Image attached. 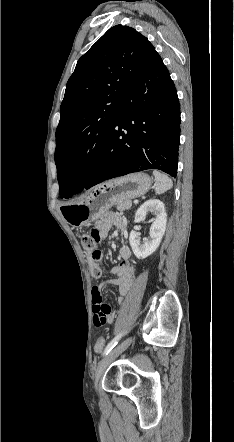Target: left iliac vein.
I'll return each instance as SVG.
<instances>
[{
    "label": "left iliac vein",
    "instance_id": "1",
    "mask_svg": "<svg viewBox=\"0 0 234 442\" xmlns=\"http://www.w3.org/2000/svg\"><path fill=\"white\" fill-rule=\"evenodd\" d=\"M133 338L128 337L123 342H121L119 345L114 347L98 364L96 371H95V386L97 387L98 382L100 378L102 377L103 373L105 372L106 368L109 366V364L115 360L123 351H125L129 345L132 343Z\"/></svg>",
    "mask_w": 234,
    "mask_h": 442
}]
</instances>
